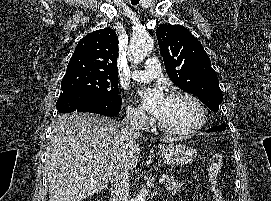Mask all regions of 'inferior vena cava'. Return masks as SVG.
I'll return each instance as SVG.
<instances>
[{"label":"inferior vena cava","instance_id":"602c4592","mask_svg":"<svg viewBox=\"0 0 271 201\" xmlns=\"http://www.w3.org/2000/svg\"><path fill=\"white\" fill-rule=\"evenodd\" d=\"M143 117L144 114L141 112L128 113L120 124L122 138L132 140L139 137V123ZM111 185L110 201H129V168L127 165L122 163L115 172Z\"/></svg>","mask_w":271,"mask_h":201}]
</instances>
